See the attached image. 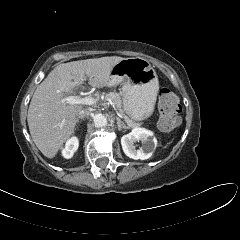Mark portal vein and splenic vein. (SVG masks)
Masks as SVG:
<instances>
[{"instance_id": "18ae733b", "label": "portal vein and splenic vein", "mask_w": 240, "mask_h": 240, "mask_svg": "<svg viewBox=\"0 0 240 240\" xmlns=\"http://www.w3.org/2000/svg\"><path fill=\"white\" fill-rule=\"evenodd\" d=\"M64 102L68 104H82V105H93L96 104L97 99L93 97H84L81 98L79 95L77 96H68L63 99ZM119 117L123 118L126 122H129L128 118L126 116H122L121 114H118Z\"/></svg>"}]
</instances>
